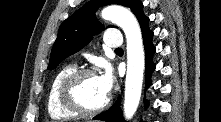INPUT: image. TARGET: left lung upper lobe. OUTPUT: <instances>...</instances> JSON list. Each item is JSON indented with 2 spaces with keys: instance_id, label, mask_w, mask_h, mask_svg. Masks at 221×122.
I'll list each match as a JSON object with an SVG mask.
<instances>
[{
  "instance_id": "5c2ea615",
  "label": "left lung upper lobe",
  "mask_w": 221,
  "mask_h": 122,
  "mask_svg": "<svg viewBox=\"0 0 221 122\" xmlns=\"http://www.w3.org/2000/svg\"><path fill=\"white\" fill-rule=\"evenodd\" d=\"M136 2L138 0H91L82 6L61 24L48 69H54L69 55L83 48L92 39V35L103 30V26L95 18L99 6L120 4L132 10Z\"/></svg>"
}]
</instances>
